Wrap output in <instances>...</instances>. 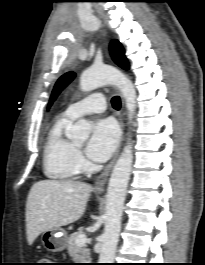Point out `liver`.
<instances>
[{
    "instance_id": "6515ba94",
    "label": "liver",
    "mask_w": 205,
    "mask_h": 265,
    "mask_svg": "<svg viewBox=\"0 0 205 265\" xmlns=\"http://www.w3.org/2000/svg\"><path fill=\"white\" fill-rule=\"evenodd\" d=\"M93 188L84 182L42 180L33 184L26 203L27 241L71 224L84 214Z\"/></svg>"
}]
</instances>
